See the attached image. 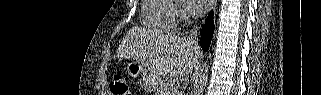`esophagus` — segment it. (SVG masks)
Masks as SVG:
<instances>
[{"instance_id":"esophagus-1","label":"esophagus","mask_w":321,"mask_h":95,"mask_svg":"<svg viewBox=\"0 0 321 95\" xmlns=\"http://www.w3.org/2000/svg\"><path fill=\"white\" fill-rule=\"evenodd\" d=\"M216 5H217V1H214V7H216Z\"/></svg>"}]
</instances>
